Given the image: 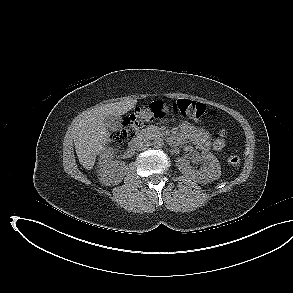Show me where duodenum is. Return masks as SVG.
Returning a JSON list of instances; mask_svg holds the SVG:
<instances>
[{"mask_svg":"<svg viewBox=\"0 0 293 293\" xmlns=\"http://www.w3.org/2000/svg\"><path fill=\"white\" fill-rule=\"evenodd\" d=\"M142 141V137L140 135L135 136L129 143V148L131 150L136 149Z\"/></svg>","mask_w":293,"mask_h":293,"instance_id":"410a0bca","label":"duodenum"}]
</instances>
